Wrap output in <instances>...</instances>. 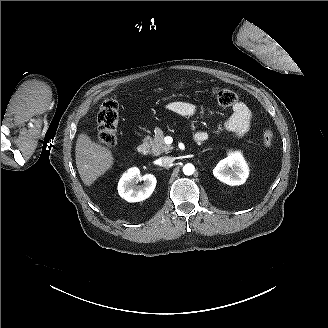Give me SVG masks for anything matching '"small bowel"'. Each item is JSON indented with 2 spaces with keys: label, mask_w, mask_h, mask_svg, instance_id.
I'll return each instance as SVG.
<instances>
[{
  "label": "small bowel",
  "mask_w": 328,
  "mask_h": 328,
  "mask_svg": "<svg viewBox=\"0 0 328 328\" xmlns=\"http://www.w3.org/2000/svg\"><path fill=\"white\" fill-rule=\"evenodd\" d=\"M166 110L180 116L190 117L196 114L197 107L188 102L174 101L166 105ZM252 123V112L243 102H237L233 106V113L224 122V127L232 132L235 137L242 138L250 130ZM203 133V132H198ZM205 134V133H203Z\"/></svg>",
  "instance_id": "small-bowel-1"
}]
</instances>
